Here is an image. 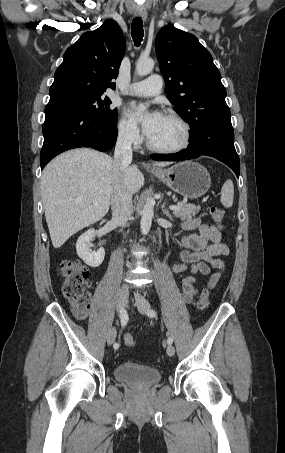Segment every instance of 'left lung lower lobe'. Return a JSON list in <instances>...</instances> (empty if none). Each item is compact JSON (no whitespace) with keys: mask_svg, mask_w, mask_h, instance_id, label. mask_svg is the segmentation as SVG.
<instances>
[{"mask_svg":"<svg viewBox=\"0 0 285 453\" xmlns=\"http://www.w3.org/2000/svg\"><path fill=\"white\" fill-rule=\"evenodd\" d=\"M201 155L214 157L228 165L239 177V157L234 147L232 126H208L196 135L190 134V144L185 151L175 154H153L151 158L158 161H183Z\"/></svg>","mask_w":285,"mask_h":453,"instance_id":"left-lung-lower-lobe-1","label":"left lung lower lobe"}]
</instances>
